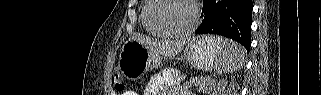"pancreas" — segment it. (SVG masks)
I'll return each instance as SVG.
<instances>
[{
  "instance_id": "cf45deb5",
  "label": "pancreas",
  "mask_w": 321,
  "mask_h": 95,
  "mask_svg": "<svg viewBox=\"0 0 321 95\" xmlns=\"http://www.w3.org/2000/svg\"><path fill=\"white\" fill-rule=\"evenodd\" d=\"M188 88H190L192 85L198 88L200 92L209 94L212 92L214 95L219 87H223L220 84H218L215 80L209 78V77H195L192 78L189 82H186L185 84Z\"/></svg>"
}]
</instances>
